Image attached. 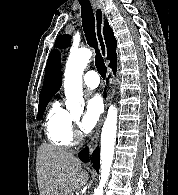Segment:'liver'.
Listing matches in <instances>:
<instances>
[{"mask_svg":"<svg viewBox=\"0 0 178 195\" xmlns=\"http://www.w3.org/2000/svg\"><path fill=\"white\" fill-rule=\"evenodd\" d=\"M40 195H74L88 181V173L71 153L42 144L37 153Z\"/></svg>","mask_w":178,"mask_h":195,"instance_id":"1","label":"liver"}]
</instances>
